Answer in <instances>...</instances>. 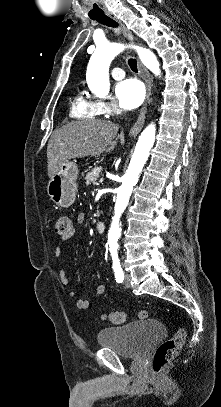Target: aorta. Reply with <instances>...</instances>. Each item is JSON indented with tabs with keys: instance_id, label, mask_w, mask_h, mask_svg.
Returning <instances> with one entry per match:
<instances>
[{
	"instance_id": "1",
	"label": "aorta",
	"mask_w": 221,
	"mask_h": 407,
	"mask_svg": "<svg viewBox=\"0 0 221 407\" xmlns=\"http://www.w3.org/2000/svg\"><path fill=\"white\" fill-rule=\"evenodd\" d=\"M125 46L118 43H104L98 45L90 58L86 80L89 89L97 97H105L109 93V66L112 60L124 50ZM137 50L141 62L156 76L160 75L159 62L155 54L143 47H134ZM156 127L153 123L147 126L141 133L132 155L129 167L123 177L122 185L117 191V199L114 207L111 227L108 232L109 250L114 261L118 260V240L121 229L120 217L126 209L133 188L149 156V151L155 141Z\"/></svg>"
}]
</instances>
